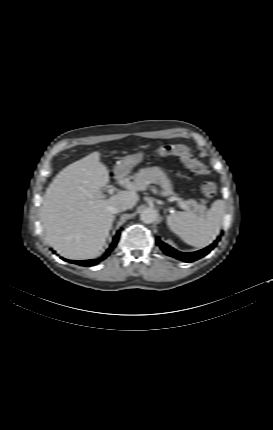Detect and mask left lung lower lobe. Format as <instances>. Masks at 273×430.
I'll list each match as a JSON object with an SVG mask.
<instances>
[{"label":"left lung lower lobe","mask_w":273,"mask_h":430,"mask_svg":"<svg viewBox=\"0 0 273 430\" xmlns=\"http://www.w3.org/2000/svg\"><path fill=\"white\" fill-rule=\"evenodd\" d=\"M218 240H220L219 237L210 246H208L202 250H199L196 252H190V253H183V252H179V251L173 249L171 246L162 242L159 238H156L157 244L159 245V247L162 249V251L166 255L174 257V258L179 259V260L184 261V262H193V261L198 260V259L202 258L203 256L207 255L216 246Z\"/></svg>","instance_id":"left-lung-lower-lobe-1"}]
</instances>
